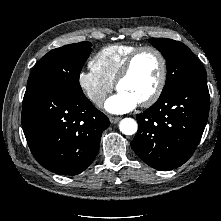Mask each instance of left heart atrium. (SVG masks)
Here are the masks:
<instances>
[{
    "mask_svg": "<svg viewBox=\"0 0 221 221\" xmlns=\"http://www.w3.org/2000/svg\"><path fill=\"white\" fill-rule=\"evenodd\" d=\"M138 104V100L133 96L119 91L106 101L104 107L110 113L122 114L133 110Z\"/></svg>",
    "mask_w": 221,
    "mask_h": 221,
    "instance_id": "39dd6f15",
    "label": "left heart atrium"
}]
</instances>
